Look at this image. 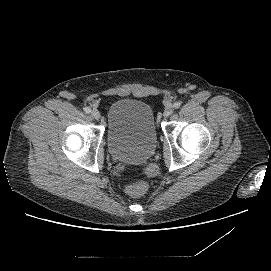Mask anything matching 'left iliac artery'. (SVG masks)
<instances>
[{
  "mask_svg": "<svg viewBox=\"0 0 271 271\" xmlns=\"http://www.w3.org/2000/svg\"><path fill=\"white\" fill-rule=\"evenodd\" d=\"M173 106H174V108H179L181 106V103L180 102H175Z\"/></svg>",
  "mask_w": 271,
  "mask_h": 271,
  "instance_id": "obj_1",
  "label": "left iliac artery"
}]
</instances>
